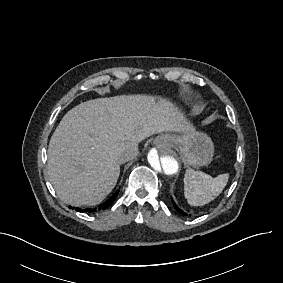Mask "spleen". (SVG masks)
Returning a JSON list of instances; mask_svg holds the SVG:
<instances>
[{"label":"spleen","mask_w":283,"mask_h":283,"mask_svg":"<svg viewBox=\"0 0 283 283\" xmlns=\"http://www.w3.org/2000/svg\"><path fill=\"white\" fill-rule=\"evenodd\" d=\"M228 173L217 177L187 167L184 177V192L190 205L199 206L212 201L226 186Z\"/></svg>","instance_id":"spleen-1"}]
</instances>
